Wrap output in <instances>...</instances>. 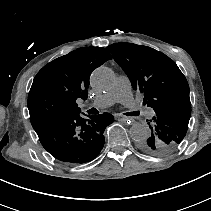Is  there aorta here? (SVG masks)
Returning <instances> with one entry per match:
<instances>
[{"label":"aorta","mask_w":211,"mask_h":211,"mask_svg":"<svg viewBox=\"0 0 211 211\" xmlns=\"http://www.w3.org/2000/svg\"><path fill=\"white\" fill-rule=\"evenodd\" d=\"M114 80L113 71L105 66H101L93 71L90 83L94 89L102 91L110 88ZM129 134L133 140L139 142L146 140L150 135V131L145 125L135 123L131 126Z\"/></svg>","instance_id":"aorta-1"}]
</instances>
